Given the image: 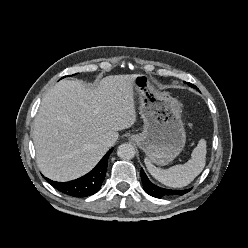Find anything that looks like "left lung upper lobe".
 Instances as JSON below:
<instances>
[{"instance_id": "1", "label": "left lung upper lobe", "mask_w": 248, "mask_h": 248, "mask_svg": "<svg viewBox=\"0 0 248 248\" xmlns=\"http://www.w3.org/2000/svg\"><path fill=\"white\" fill-rule=\"evenodd\" d=\"M188 85H189V86H191V87H193V88L198 89L196 86H194V85H193V84H191V83H188Z\"/></svg>"}]
</instances>
